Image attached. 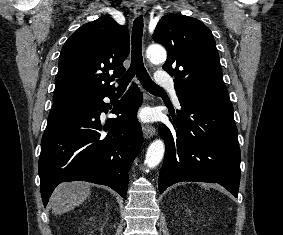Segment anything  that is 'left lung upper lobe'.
<instances>
[{
  "label": "left lung upper lobe",
  "mask_w": 283,
  "mask_h": 235,
  "mask_svg": "<svg viewBox=\"0 0 283 235\" xmlns=\"http://www.w3.org/2000/svg\"><path fill=\"white\" fill-rule=\"evenodd\" d=\"M152 38L167 50L163 68L176 77L177 96L213 103L230 102L213 34L201 21L185 15H165Z\"/></svg>",
  "instance_id": "5c2ea615"
}]
</instances>
